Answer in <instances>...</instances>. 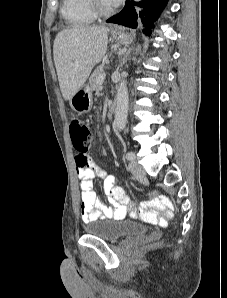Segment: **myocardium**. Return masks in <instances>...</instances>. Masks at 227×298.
<instances>
[{
    "label": "myocardium",
    "mask_w": 227,
    "mask_h": 298,
    "mask_svg": "<svg viewBox=\"0 0 227 298\" xmlns=\"http://www.w3.org/2000/svg\"><path fill=\"white\" fill-rule=\"evenodd\" d=\"M90 8L96 16L105 17L113 12V8L103 7L98 0H89Z\"/></svg>",
    "instance_id": "obj_1"
}]
</instances>
